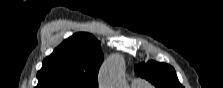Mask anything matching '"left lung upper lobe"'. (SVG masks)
<instances>
[{"label": "left lung upper lobe", "mask_w": 223, "mask_h": 88, "mask_svg": "<svg viewBox=\"0 0 223 88\" xmlns=\"http://www.w3.org/2000/svg\"><path fill=\"white\" fill-rule=\"evenodd\" d=\"M135 72L154 84L156 88H183L174 68L165 63L155 61L140 63L135 66Z\"/></svg>", "instance_id": "1"}]
</instances>
